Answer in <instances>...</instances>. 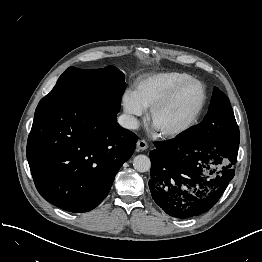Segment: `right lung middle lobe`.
<instances>
[{
    "label": "right lung middle lobe",
    "mask_w": 262,
    "mask_h": 262,
    "mask_svg": "<svg viewBox=\"0 0 262 262\" xmlns=\"http://www.w3.org/2000/svg\"><path fill=\"white\" fill-rule=\"evenodd\" d=\"M125 76L114 66L104 69L69 67L44 98H76L94 103L110 115L120 111Z\"/></svg>",
    "instance_id": "dd1d6c3e"
}]
</instances>
